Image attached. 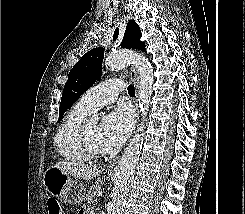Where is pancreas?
<instances>
[{"label":"pancreas","instance_id":"cf45deb5","mask_svg":"<svg viewBox=\"0 0 245 214\" xmlns=\"http://www.w3.org/2000/svg\"><path fill=\"white\" fill-rule=\"evenodd\" d=\"M98 190H99V185H92L89 187L88 194L86 195V200L88 203H94Z\"/></svg>","mask_w":245,"mask_h":214}]
</instances>
